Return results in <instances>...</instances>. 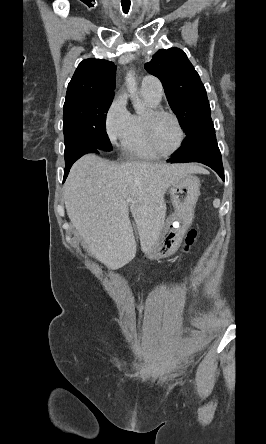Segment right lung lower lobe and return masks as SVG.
<instances>
[{"mask_svg": "<svg viewBox=\"0 0 266 444\" xmlns=\"http://www.w3.org/2000/svg\"><path fill=\"white\" fill-rule=\"evenodd\" d=\"M91 152L99 154L101 151L96 149V148H87V149H84L82 152H80L75 158L65 162L66 166H65V170H64V180H63V182L65 181V179H66V177H67V175L69 173V170H70L71 166L73 165V163L75 161H77L80 157H82L83 155H85L87 153H91Z\"/></svg>", "mask_w": 266, "mask_h": 444, "instance_id": "obj_1", "label": "right lung lower lobe"}]
</instances>
